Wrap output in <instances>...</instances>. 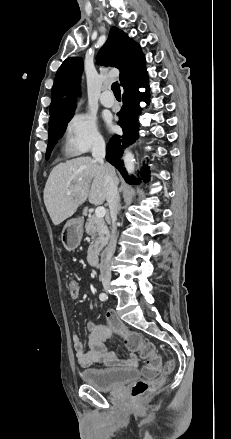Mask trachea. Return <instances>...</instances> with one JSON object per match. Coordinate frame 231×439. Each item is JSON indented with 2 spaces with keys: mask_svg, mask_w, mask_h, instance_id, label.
Masks as SVG:
<instances>
[{
  "mask_svg": "<svg viewBox=\"0 0 231 439\" xmlns=\"http://www.w3.org/2000/svg\"><path fill=\"white\" fill-rule=\"evenodd\" d=\"M111 89H112L115 97H121L120 85L117 82H114L112 84Z\"/></svg>",
  "mask_w": 231,
  "mask_h": 439,
  "instance_id": "3493384b",
  "label": "trachea"
}]
</instances>
